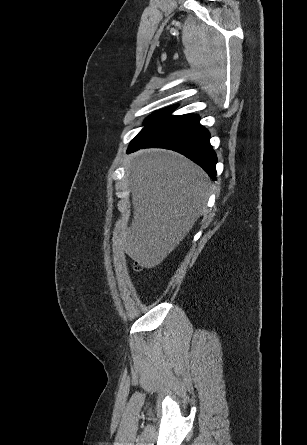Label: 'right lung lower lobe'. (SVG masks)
<instances>
[{
  "label": "right lung lower lobe",
  "instance_id": "98d812e1",
  "mask_svg": "<svg viewBox=\"0 0 307 445\" xmlns=\"http://www.w3.org/2000/svg\"><path fill=\"white\" fill-rule=\"evenodd\" d=\"M199 120L195 114L166 115L145 127L131 141L127 153L151 147L174 150L200 165L216 180L217 157L209 142L210 134Z\"/></svg>",
  "mask_w": 307,
  "mask_h": 445
}]
</instances>
